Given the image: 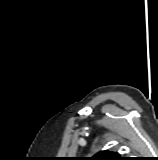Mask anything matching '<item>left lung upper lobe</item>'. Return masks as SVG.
I'll use <instances>...</instances> for the list:
<instances>
[{"instance_id": "5c2ea615", "label": "left lung upper lobe", "mask_w": 158, "mask_h": 160, "mask_svg": "<svg viewBox=\"0 0 158 160\" xmlns=\"http://www.w3.org/2000/svg\"><path fill=\"white\" fill-rule=\"evenodd\" d=\"M89 160H126V159L124 157H121L118 153L109 152L105 150L97 153Z\"/></svg>"}]
</instances>
